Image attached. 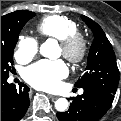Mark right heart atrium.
Returning <instances> with one entry per match:
<instances>
[{"mask_svg": "<svg viewBox=\"0 0 121 121\" xmlns=\"http://www.w3.org/2000/svg\"><path fill=\"white\" fill-rule=\"evenodd\" d=\"M38 52V42L33 37H23L15 49V58L21 62L32 60Z\"/></svg>", "mask_w": 121, "mask_h": 121, "instance_id": "right-heart-atrium-1", "label": "right heart atrium"}]
</instances>
